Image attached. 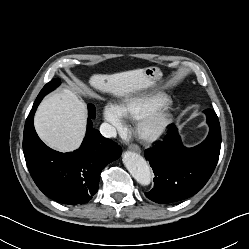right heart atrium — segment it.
Masks as SVG:
<instances>
[{"mask_svg": "<svg viewBox=\"0 0 249 249\" xmlns=\"http://www.w3.org/2000/svg\"><path fill=\"white\" fill-rule=\"evenodd\" d=\"M104 117L106 121L115 130H123L125 127V119L119 110V106L109 104L104 109Z\"/></svg>", "mask_w": 249, "mask_h": 249, "instance_id": "right-heart-atrium-1", "label": "right heart atrium"}]
</instances>
